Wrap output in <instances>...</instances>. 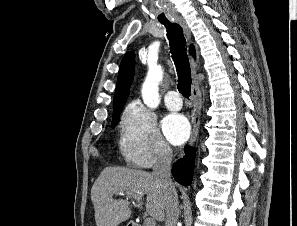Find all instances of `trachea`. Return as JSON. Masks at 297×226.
<instances>
[{
	"label": "trachea",
	"instance_id": "obj_1",
	"mask_svg": "<svg viewBox=\"0 0 297 226\" xmlns=\"http://www.w3.org/2000/svg\"><path fill=\"white\" fill-rule=\"evenodd\" d=\"M167 29V37L170 42V50L178 74V90L186 98L191 92V70L188 55L186 53V41L182 28L176 23L163 22Z\"/></svg>",
	"mask_w": 297,
	"mask_h": 226
}]
</instances>
